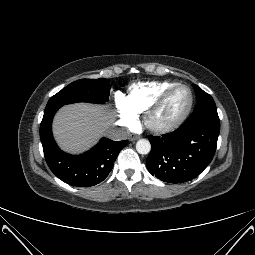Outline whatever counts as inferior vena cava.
Instances as JSON below:
<instances>
[{
  "mask_svg": "<svg viewBox=\"0 0 255 255\" xmlns=\"http://www.w3.org/2000/svg\"><path fill=\"white\" fill-rule=\"evenodd\" d=\"M108 138L114 141H120L126 139L129 135V131L122 128H111L107 131Z\"/></svg>",
  "mask_w": 255,
  "mask_h": 255,
  "instance_id": "inferior-vena-cava-1",
  "label": "inferior vena cava"
}]
</instances>
